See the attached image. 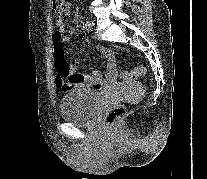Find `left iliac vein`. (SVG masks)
<instances>
[{"instance_id": "left-iliac-vein-1", "label": "left iliac vein", "mask_w": 207, "mask_h": 179, "mask_svg": "<svg viewBox=\"0 0 207 179\" xmlns=\"http://www.w3.org/2000/svg\"><path fill=\"white\" fill-rule=\"evenodd\" d=\"M95 27H98V24L90 23L89 25L90 29L95 28ZM94 38L99 39V34L97 32L94 33Z\"/></svg>"}]
</instances>
